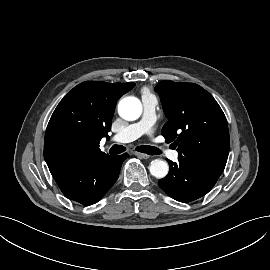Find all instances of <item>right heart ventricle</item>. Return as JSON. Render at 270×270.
<instances>
[{
    "mask_svg": "<svg viewBox=\"0 0 270 270\" xmlns=\"http://www.w3.org/2000/svg\"><path fill=\"white\" fill-rule=\"evenodd\" d=\"M143 94L149 95L150 93L148 92V90H144Z\"/></svg>",
    "mask_w": 270,
    "mask_h": 270,
    "instance_id": "right-heart-ventricle-1",
    "label": "right heart ventricle"
}]
</instances>
